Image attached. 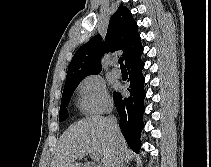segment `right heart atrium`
Wrapping results in <instances>:
<instances>
[{"label": "right heart atrium", "mask_w": 211, "mask_h": 167, "mask_svg": "<svg viewBox=\"0 0 211 167\" xmlns=\"http://www.w3.org/2000/svg\"><path fill=\"white\" fill-rule=\"evenodd\" d=\"M80 109L88 114L106 111L111 104L104 80L99 75H89L78 85Z\"/></svg>", "instance_id": "obj_1"}]
</instances>
